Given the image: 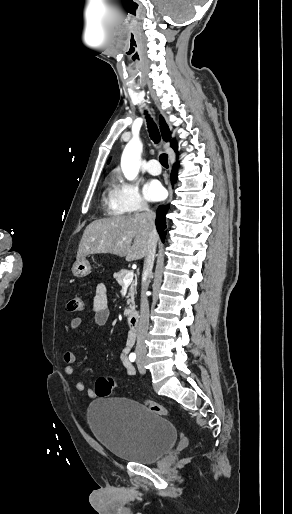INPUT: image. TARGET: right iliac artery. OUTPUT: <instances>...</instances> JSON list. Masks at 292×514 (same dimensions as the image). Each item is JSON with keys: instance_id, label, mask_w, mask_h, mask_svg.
Instances as JSON below:
<instances>
[{"instance_id": "1", "label": "right iliac artery", "mask_w": 292, "mask_h": 514, "mask_svg": "<svg viewBox=\"0 0 292 514\" xmlns=\"http://www.w3.org/2000/svg\"><path fill=\"white\" fill-rule=\"evenodd\" d=\"M135 359H136V354H135V353H131V354L129 355V360H130L131 362H134V361H135Z\"/></svg>"}]
</instances>
